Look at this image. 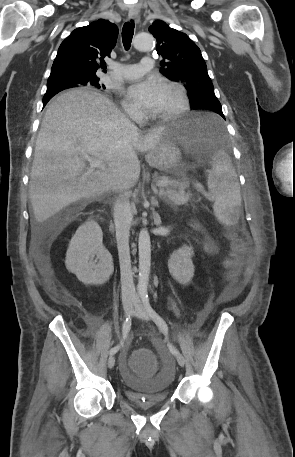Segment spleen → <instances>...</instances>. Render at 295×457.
I'll use <instances>...</instances> for the list:
<instances>
[{"label":"spleen","mask_w":295,"mask_h":457,"mask_svg":"<svg viewBox=\"0 0 295 457\" xmlns=\"http://www.w3.org/2000/svg\"><path fill=\"white\" fill-rule=\"evenodd\" d=\"M208 189L214 200L213 211L218 221L224 225L237 222L241 206L240 186L237 175L227 154L218 150L210 162Z\"/></svg>","instance_id":"spleen-1"}]
</instances>
